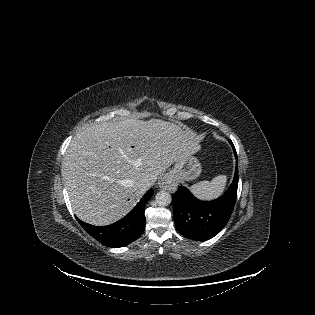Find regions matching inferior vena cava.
<instances>
[{
	"mask_svg": "<svg viewBox=\"0 0 315 315\" xmlns=\"http://www.w3.org/2000/svg\"><path fill=\"white\" fill-rule=\"evenodd\" d=\"M150 186H151V183L149 181H145L141 184V190L147 191Z\"/></svg>",
	"mask_w": 315,
	"mask_h": 315,
	"instance_id": "1",
	"label": "inferior vena cava"
}]
</instances>
